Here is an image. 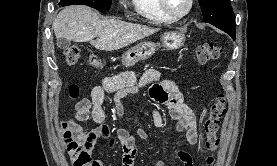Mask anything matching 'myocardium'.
<instances>
[{"label":"myocardium","mask_w":277,"mask_h":166,"mask_svg":"<svg viewBox=\"0 0 277 166\" xmlns=\"http://www.w3.org/2000/svg\"><path fill=\"white\" fill-rule=\"evenodd\" d=\"M158 3H159V7L162 10V12L168 18H170L171 20L175 21V20H180V19L186 17L191 12V10L193 9L194 0H188V6H187V8L182 13H179V14L173 13L169 9L168 4H167V0H158Z\"/></svg>","instance_id":"obj_1"}]
</instances>
